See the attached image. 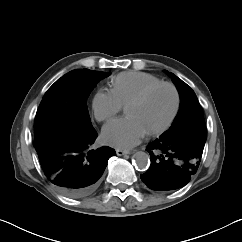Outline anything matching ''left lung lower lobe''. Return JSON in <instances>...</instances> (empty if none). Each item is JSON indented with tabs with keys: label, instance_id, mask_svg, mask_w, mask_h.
<instances>
[{
	"label": "left lung lower lobe",
	"instance_id": "obj_1",
	"mask_svg": "<svg viewBox=\"0 0 242 242\" xmlns=\"http://www.w3.org/2000/svg\"><path fill=\"white\" fill-rule=\"evenodd\" d=\"M203 149L204 143L156 139L146 148L150 154L151 165L140 177L155 191L182 188L197 172Z\"/></svg>",
	"mask_w": 242,
	"mask_h": 242
}]
</instances>
